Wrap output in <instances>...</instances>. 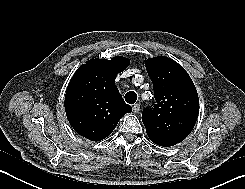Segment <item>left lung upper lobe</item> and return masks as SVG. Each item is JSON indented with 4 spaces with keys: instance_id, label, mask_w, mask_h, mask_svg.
Here are the masks:
<instances>
[{
    "instance_id": "5c2ea615",
    "label": "left lung upper lobe",
    "mask_w": 245,
    "mask_h": 189,
    "mask_svg": "<svg viewBox=\"0 0 245 189\" xmlns=\"http://www.w3.org/2000/svg\"><path fill=\"white\" fill-rule=\"evenodd\" d=\"M145 66L156 104L144 109L142 121L152 142L170 147L183 141L196 123L197 90L185 69L168 57L145 59Z\"/></svg>"
}]
</instances>
